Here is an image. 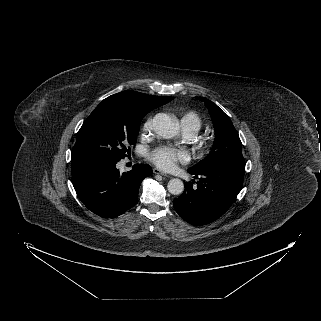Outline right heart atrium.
Returning a JSON list of instances; mask_svg holds the SVG:
<instances>
[{
	"instance_id": "obj_1",
	"label": "right heart atrium",
	"mask_w": 321,
	"mask_h": 321,
	"mask_svg": "<svg viewBox=\"0 0 321 321\" xmlns=\"http://www.w3.org/2000/svg\"><path fill=\"white\" fill-rule=\"evenodd\" d=\"M151 126H152V119L149 118V119L145 122V124H144V126H143V130H144V131H149V130L151 129Z\"/></svg>"
}]
</instances>
